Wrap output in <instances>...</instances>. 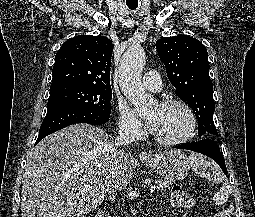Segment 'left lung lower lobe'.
Returning a JSON list of instances; mask_svg holds the SVG:
<instances>
[{
    "label": "left lung lower lobe",
    "mask_w": 255,
    "mask_h": 217,
    "mask_svg": "<svg viewBox=\"0 0 255 217\" xmlns=\"http://www.w3.org/2000/svg\"><path fill=\"white\" fill-rule=\"evenodd\" d=\"M173 148L191 150L212 158L220 166L224 174L229 177L225 166L224 157L220 152L219 146L214 138H203L194 145H179Z\"/></svg>",
    "instance_id": "obj_1"
}]
</instances>
